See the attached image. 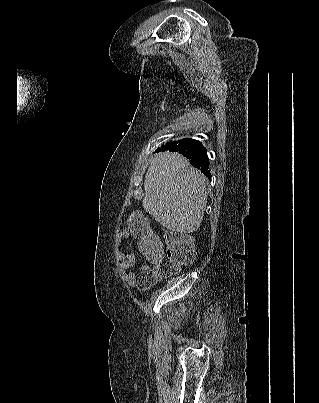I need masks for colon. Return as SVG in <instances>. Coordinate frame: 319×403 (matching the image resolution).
<instances>
[{"instance_id": "colon-1", "label": "colon", "mask_w": 319, "mask_h": 403, "mask_svg": "<svg viewBox=\"0 0 319 403\" xmlns=\"http://www.w3.org/2000/svg\"><path fill=\"white\" fill-rule=\"evenodd\" d=\"M130 232L139 241V248L145 258L154 265L153 269L142 271L137 276L141 290L153 287L160 278L178 273L184 266L193 263L195 247L192 239L185 233L167 231L162 240L155 235L144 214H134L128 221ZM164 264L160 266V263Z\"/></svg>"}]
</instances>
